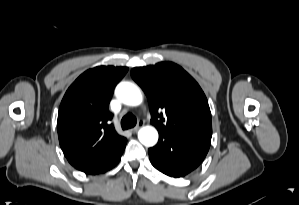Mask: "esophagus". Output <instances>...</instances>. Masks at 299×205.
Masks as SVG:
<instances>
[{"label": "esophagus", "instance_id": "34e87169", "mask_svg": "<svg viewBox=\"0 0 299 205\" xmlns=\"http://www.w3.org/2000/svg\"><path fill=\"white\" fill-rule=\"evenodd\" d=\"M142 126H143V123L140 121L136 127L131 129V132H133V133L137 132Z\"/></svg>", "mask_w": 299, "mask_h": 205}]
</instances>
